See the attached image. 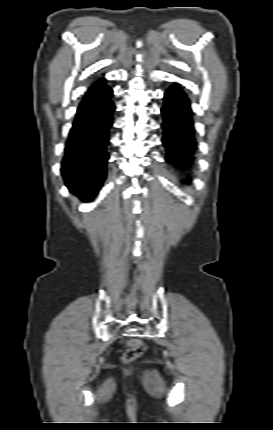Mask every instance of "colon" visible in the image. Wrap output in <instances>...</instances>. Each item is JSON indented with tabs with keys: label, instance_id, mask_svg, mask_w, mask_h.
Segmentation results:
<instances>
[{
	"label": "colon",
	"instance_id": "1",
	"mask_svg": "<svg viewBox=\"0 0 273 430\" xmlns=\"http://www.w3.org/2000/svg\"><path fill=\"white\" fill-rule=\"evenodd\" d=\"M145 350V344L142 340L131 338L127 341V349L123 355L125 362H132L137 359Z\"/></svg>",
	"mask_w": 273,
	"mask_h": 430
}]
</instances>
